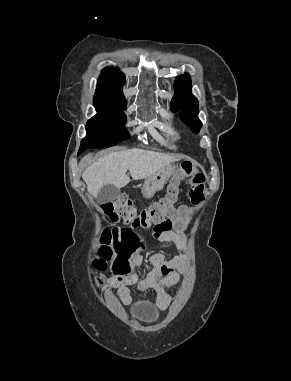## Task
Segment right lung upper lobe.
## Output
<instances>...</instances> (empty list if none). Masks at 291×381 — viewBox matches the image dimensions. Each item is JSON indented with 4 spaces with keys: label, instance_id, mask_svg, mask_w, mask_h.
Segmentation results:
<instances>
[{
    "label": "right lung upper lobe",
    "instance_id": "obj_1",
    "mask_svg": "<svg viewBox=\"0 0 291 381\" xmlns=\"http://www.w3.org/2000/svg\"><path fill=\"white\" fill-rule=\"evenodd\" d=\"M124 78L121 72L105 68L99 77L94 99L126 105L122 93Z\"/></svg>",
    "mask_w": 291,
    "mask_h": 381
}]
</instances>
